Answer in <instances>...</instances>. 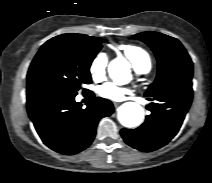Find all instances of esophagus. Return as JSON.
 <instances>
[{"instance_id":"1","label":"esophagus","mask_w":212,"mask_h":183,"mask_svg":"<svg viewBox=\"0 0 212 183\" xmlns=\"http://www.w3.org/2000/svg\"><path fill=\"white\" fill-rule=\"evenodd\" d=\"M113 104H114L115 107L119 106V103H117V102H114Z\"/></svg>"}]
</instances>
